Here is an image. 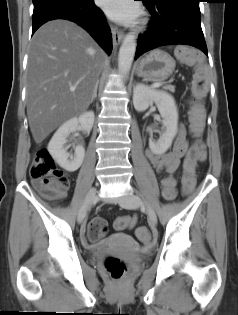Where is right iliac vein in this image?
Instances as JSON below:
<instances>
[{
  "mask_svg": "<svg viewBox=\"0 0 238 315\" xmlns=\"http://www.w3.org/2000/svg\"><path fill=\"white\" fill-rule=\"evenodd\" d=\"M96 198H97L96 189L91 188L88 191L86 198H85V201H84V204L78 213L77 221L79 224L84 221L86 214H87V211H88V208L96 200Z\"/></svg>",
  "mask_w": 238,
  "mask_h": 315,
  "instance_id": "right-iliac-vein-1",
  "label": "right iliac vein"
}]
</instances>
